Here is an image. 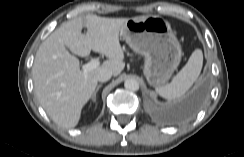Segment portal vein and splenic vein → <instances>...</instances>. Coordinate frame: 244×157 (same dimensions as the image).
<instances>
[{"label":"portal vein and splenic vein","mask_w":244,"mask_h":157,"mask_svg":"<svg viewBox=\"0 0 244 157\" xmlns=\"http://www.w3.org/2000/svg\"><path fill=\"white\" fill-rule=\"evenodd\" d=\"M100 65L99 60L93 59L89 63L82 65V70L84 74H87L89 71L97 68Z\"/></svg>","instance_id":"18ae733b"}]
</instances>
